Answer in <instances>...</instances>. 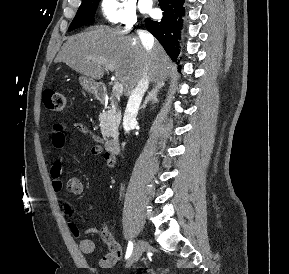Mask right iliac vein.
Masks as SVG:
<instances>
[{
	"mask_svg": "<svg viewBox=\"0 0 289 274\" xmlns=\"http://www.w3.org/2000/svg\"><path fill=\"white\" fill-rule=\"evenodd\" d=\"M145 248H146V242L143 239H139L136 242L134 249H133V252H132L129 260L127 261L126 265L129 267V266L133 265L134 263H136L140 259Z\"/></svg>",
	"mask_w": 289,
	"mask_h": 274,
	"instance_id": "obj_1",
	"label": "right iliac vein"
}]
</instances>
